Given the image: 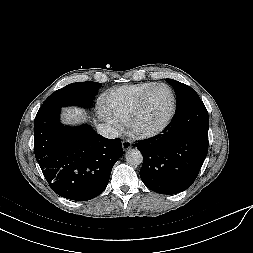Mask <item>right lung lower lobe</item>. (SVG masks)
Instances as JSON below:
<instances>
[{"instance_id": "98d812e1", "label": "right lung lower lobe", "mask_w": 253, "mask_h": 253, "mask_svg": "<svg viewBox=\"0 0 253 253\" xmlns=\"http://www.w3.org/2000/svg\"><path fill=\"white\" fill-rule=\"evenodd\" d=\"M60 108L39 109L35 157L55 193L75 201L93 199L105 190L112 167L123 154L121 140L103 138L88 125L63 127Z\"/></svg>"}]
</instances>
